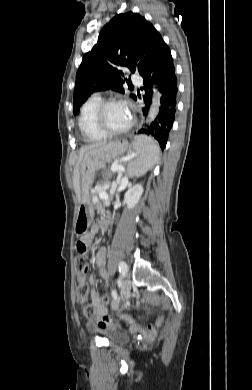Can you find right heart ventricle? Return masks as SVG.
<instances>
[{"label": "right heart ventricle", "mask_w": 252, "mask_h": 390, "mask_svg": "<svg viewBox=\"0 0 252 390\" xmlns=\"http://www.w3.org/2000/svg\"><path fill=\"white\" fill-rule=\"evenodd\" d=\"M102 101L103 99L100 96L93 95L81 107L79 128L87 142H100L108 137L98 130L94 120L96 108Z\"/></svg>", "instance_id": "e07e8e85"}]
</instances>
